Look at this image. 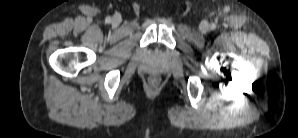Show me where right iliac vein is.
<instances>
[{"label": "right iliac vein", "instance_id": "obj_1", "mask_svg": "<svg viewBox=\"0 0 298 138\" xmlns=\"http://www.w3.org/2000/svg\"><path fill=\"white\" fill-rule=\"evenodd\" d=\"M120 22H121V18H120V16H119V15H115V16L113 17V19H112V24H113L114 26H118V25L120 24Z\"/></svg>", "mask_w": 298, "mask_h": 138}]
</instances>
